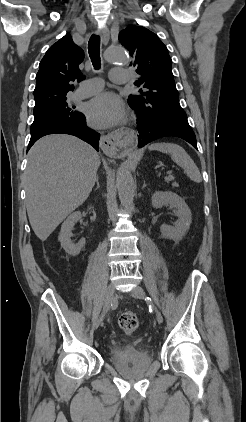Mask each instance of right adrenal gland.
<instances>
[{
    "label": "right adrenal gland",
    "instance_id": "2a0ac1e0",
    "mask_svg": "<svg viewBox=\"0 0 246 422\" xmlns=\"http://www.w3.org/2000/svg\"><path fill=\"white\" fill-rule=\"evenodd\" d=\"M96 184H97V187H96V190H97V189H99V188H100V184H99V177H97V178H96Z\"/></svg>",
    "mask_w": 246,
    "mask_h": 422
}]
</instances>
